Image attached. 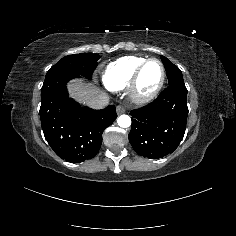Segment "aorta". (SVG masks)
Masks as SVG:
<instances>
[{"instance_id":"aorta-1","label":"aorta","mask_w":236,"mask_h":236,"mask_svg":"<svg viewBox=\"0 0 236 236\" xmlns=\"http://www.w3.org/2000/svg\"><path fill=\"white\" fill-rule=\"evenodd\" d=\"M117 124L120 127H129L130 124H131V119H130V117L128 115L122 114V115L118 116Z\"/></svg>"}]
</instances>
